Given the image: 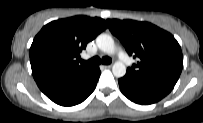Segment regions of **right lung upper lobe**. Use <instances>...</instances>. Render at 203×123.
<instances>
[{"label":"right lung upper lobe","mask_w":203,"mask_h":123,"mask_svg":"<svg viewBox=\"0 0 203 123\" xmlns=\"http://www.w3.org/2000/svg\"><path fill=\"white\" fill-rule=\"evenodd\" d=\"M107 28L98 17L74 16L52 21L35 36L30 47L34 79L48 74L84 72L95 66L79 64L80 53Z\"/></svg>","instance_id":"1"}]
</instances>
